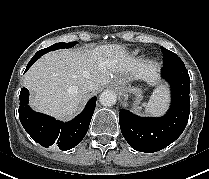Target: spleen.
<instances>
[{"label":"spleen","mask_w":209,"mask_h":179,"mask_svg":"<svg viewBox=\"0 0 209 179\" xmlns=\"http://www.w3.org/2000/svg\"><path fill=\"white\" fill-rule=\"evenodd\" d=\"M169 106V91L165 85H161L155 89L150 101L147 104L148 111L155 115H163Z\"/></svg>","instance_id":"spleen-1"}]
</instances>
